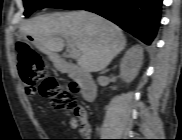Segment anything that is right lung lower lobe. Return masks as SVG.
Here are the masks:
<instances>
[{"mask_svg": "<svg viewBox=\"0 0 182 140\" xmlns=\"http://www.w3.org/2000/svg\"><path fill=\"white\" fill-rule=\"evenodd\" d=\"M162 0H93L81 9L97 13L150 45L156 36Z\"/></svg>", "mask_w": 182, "mask_h": 140, "instance_id": "right-lung-lower-lobe-1", "label": "right lung lower lobe"}]
</instances>
